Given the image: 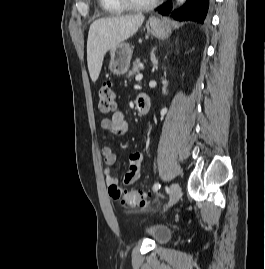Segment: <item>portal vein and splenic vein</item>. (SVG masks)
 <instances>
[{
	"label": "portal vein and splenic vein",
	"mask_w": 265,
	"mask_h": 269,
	"mask_svg": "<svg viewBox=\"0 0 265 269\" xmlns=\"http://www.w3.org/2000/svg\"><path fill=\"white\" fill-rule=\"evenodd\" d=\"M142 78H143V75L142 74H138L135 79H136V81H141Z\"/></svg>",
	"instance_id": "1"
}]
</instances>
